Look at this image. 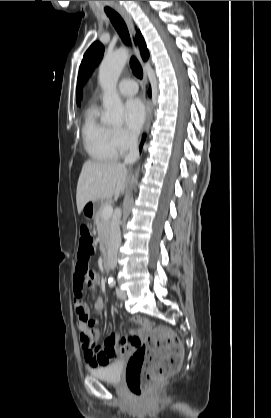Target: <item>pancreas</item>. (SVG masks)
Segmentation results:
<instances>
[{"label":"pancreas","instance_id":"cf45deb5","mask_svg":"<svg viewBox=\"0 0 271 418\" xmlns=\"http://www.w3.org/2000/svg\"><path fill=\"white\" fill-rule=\"evenodd\" d=\"M109 204L108 202H104L100 205L96 215H95V225L98 231V237L100 240V245L103 246L109 240L112 220L111 218L104 219L103 218V209L104 207Z\"/></svg>","mask_w":271,"mask_h":418}]
</instances>
